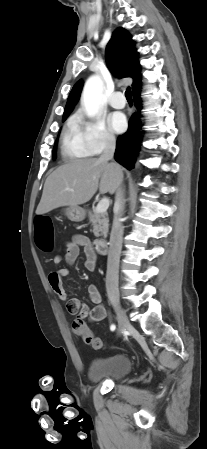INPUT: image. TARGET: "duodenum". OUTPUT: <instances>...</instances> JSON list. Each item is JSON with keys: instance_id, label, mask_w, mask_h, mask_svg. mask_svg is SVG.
<instances>
[{"instance_id": "410a0bca", "label": "duodenum", "mask_w": 207, "mask_h": 449, "mask_svg": "<svg viewBox=\"0 0 207 449\" xmlns=\"http://www.w3.org/2000/svg\"><path fill=\"white\" fill-rule=\"evenodd\" d=\"M94 247L99 254H105L108 251V242L106 239H97L94 241Z\"/></svg>"}]
</instances>
